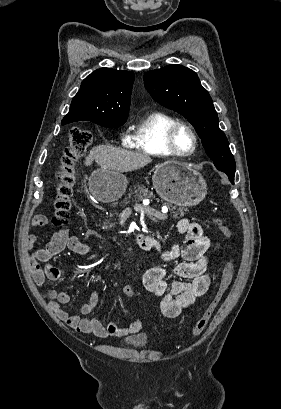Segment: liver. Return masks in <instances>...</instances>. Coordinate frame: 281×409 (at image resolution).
<instances>
[{"label": "liver", "instance_id": "liver-1", "mask_svg": "<svg viewBox=\"0 0 281 409\" xmlns=\"http://www.w3.org/2000/svg\"><path fill=\"white\" fill-rule=\"evenodd\" d=\"M93 160L100 164L104 170H119V172H129L137 170L151 162L152 158L147 152L139 150H126V148H116V146H94L86 158V166L92 164Z\"/></svg>", "mask_w": 281, "mask_h": 409}]
</instances>
